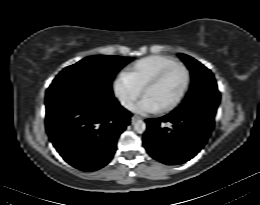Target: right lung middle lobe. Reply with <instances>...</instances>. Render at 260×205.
Instances as JSON below:
<instances>
[{
    "mask_svg": "<svg viewBox=\"0 0 260 205\" xmlns=\"http://www.w3.org/2000/svg\"><path fill=\"white\" fill-rule=\"evenodd\" d=\"M132 59L104 55L86 57L63 69L51 85L79 86L93 90L104 97L113 98L111 82L115 74Z\"/></svg>",
    "mask_w": 260,
    "mask_h": 205,
    "instance_id": "1",
    "label": "right lung middle lobe"
}]
</instances>
